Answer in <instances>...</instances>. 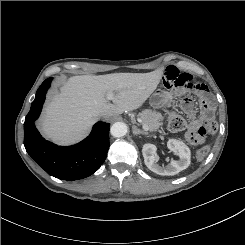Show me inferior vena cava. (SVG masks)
Returning a JSON list of instances; mask_svg holds the SVG:
<instances>
[{
	"label": "inferior vena cava",
	"instance_id": "obj_1",
	"mask_svg": "<svg viewBox=\"0 0 245 245\" xmlns=\"http://www.w3.org/2000/svg\"><path fill=\"white\" fill-rule=\"evenodd\" d=\"M101 117H106V115L105 114H101Z\"/></svg>",
	"mask_w": 245,
	"mask_h": 245
}]
</instances>
